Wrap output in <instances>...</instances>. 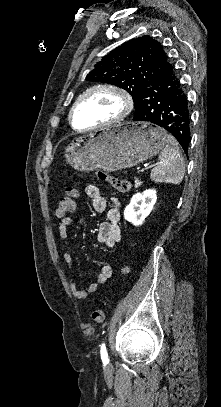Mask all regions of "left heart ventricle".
Masks as SVG:
<instances>
[{
    "label": "left heart ventricle",
    "instance_id": "left-heart-ventricle-1",
    "mask_svg": "<svg viewBox=\"0 0 221 407\" xmlns=\"http://www.w3.org/2000/svg\"><path fill=\"white\" fill-rule=\"evenodd\" d=\"M122 110L120 97L109 91H98L85 98L74 114L77 129L87 128L107 121Z\"/></svg>",
    "mask_w": 221,
    "mask_h": 407
}]
</instances>
